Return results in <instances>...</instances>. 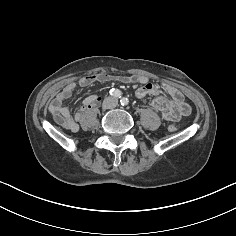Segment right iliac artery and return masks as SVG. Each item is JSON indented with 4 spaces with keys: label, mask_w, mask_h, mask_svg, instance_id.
<instances>
[{
    "label": "right iliac artery",
    "mask_w": 236,
    "mask_h": 236,
    "mask_svg": "<svg viewBox=\"0 0 236 236\" xmlns=\"http://www.w3.org/2000/svg\"><path fill=\"white\" fill-rule=\"evenodd\" d=\"M109 93H110V95L113 96L114 98H121V96H122L121 91L118 90V89H114V88L111 89Z\"/></svg>",
    "instance_id": "1"
}]
</instances>
